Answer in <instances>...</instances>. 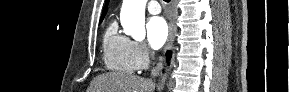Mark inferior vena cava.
Returning <instances> with one entry per match:
<instances>
[{
	"instance_id": "inferior-vena-cava-1",
	"label": "inferior vena cava",
	"mask_w": 289,
	"mask_h": 92,
	"mask_svg": "<svg viewBox=\"0 0 289 92\" xmlns=\"http://www.w3.org/2000/svg\"><path fill=\"white\" fill-rule=\"evenodd\" d=\"M157 75H159V70L157 68H153L151 70V76L156 77Z\"/></svg>"
}]
</instances>
